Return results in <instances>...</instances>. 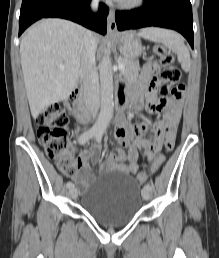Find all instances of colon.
Masks as SVG:
<instances>
[{"instance_id":"colon-1","label":"colon","mask_w":219,"mask_h":258,"mask_svg":"<svg viewBox=\"0 0 219 258\" xmlns=\"http://www.w3.org/2000/svg\"><path fill=\"white\" fill-rule=\"evenodd\" d=\"M155 53L158 55L162 65L160 78L157 86L161 97L172 95L180 97L184 94V85L181 83L182 72L177 67L173 54L163 46H157ZM37 137L44 148L47 157L55 161L59 168L67 175L75 173L76 166L68 156L69 140L67 136L69 118L65 111L59 110L57 106L51 105L42 110L36 117ZM165 161V157L158 155L151 167V171L140 172L136 175L139 183H144L150 175L158 172Z\"/></svg>"}]
</instances>
